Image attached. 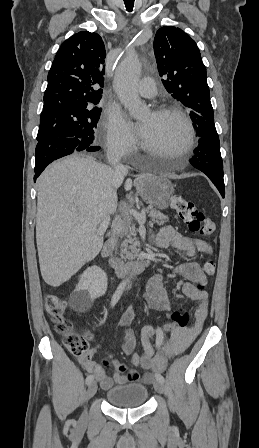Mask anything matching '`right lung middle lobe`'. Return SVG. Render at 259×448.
<instances>
[{"mask_svg": "<svg viewBox=\"0 0 259 448\" xmlns=\"http://www.w3.org/2000/svg\"><path fill=\"white\" fill-rule=\"evenodd\" d=\"M101 108L88 106L69 112L41 114L37 140L56 137H75L80 146L94 145L95 128Z\"/></svg>", "mask_w": 259, "mask_h": 448, "instance_id": "right-lung-middle-lobe-1", "label": "right lung middle lobe"}]
</instances>
